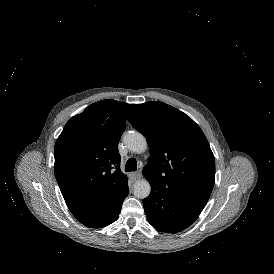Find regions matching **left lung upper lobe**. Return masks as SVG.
<instances>
[{
  "instance_id": "obj_1",
  "label": "left lung upper lobe",
  "mask_w": 274,
  "mask_h": 274,
  "mask_svg": "<svg viewBox=\"0 0 274 274\" xmlns=\"http://www.w3.org/2000/svg\"><path fill=\"white\" fill-rule=\"evenodd\" d=\"M128 121L147 139L150 158L143 169L149 182L207 203L215 180V160L200 127L163 102L136 104Z\"/></svg>"
}]
</instances>
